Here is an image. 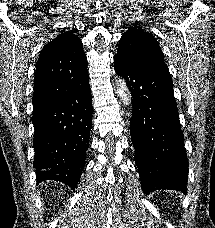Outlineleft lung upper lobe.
I'll use <instances>...</instances> for the list:
<instances>
[{"label":"left lung upper lobe","mask_w":215,"mask_h":228,"mask_svg":"<svg viewBox=\"0 0 215 228\" xmlns=\"http://www.w3.org/2000/svg\"><path fill=\"white\" fill-rule=\"evenodd\" d=\"M116 56L136 66H166L154 36L137 27H130L121 37Z\"/></svg>","instance_id":"1"}]
</instances>
